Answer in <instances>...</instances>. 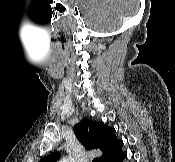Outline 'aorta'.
I'll return each instance as SVG.
<instances>
[{
	"mask_svg": "<svg viewBox=\"0 0 175 162\" xmlns=\"http://www.w3.org/2000/svg\"><path fill=\"white\" fill-rule=\"evenodd\" d=\"M61 162H71V160H69L68 158H64L63 160H61Z\"/></svg>",
	"mask_w": 175,
	"mask_h": 162,
	"instance_id": "762f6f07",
	"label": "aorta"
}]
</instances>
